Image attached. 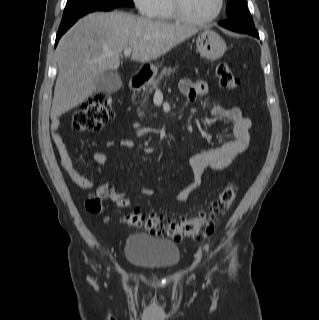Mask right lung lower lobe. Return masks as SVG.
Wrapping results in <instances>:
<instances>
[{"instance_id": "1", "label": "right lung lower lobe", "mask_w": 319, "mask_h": 320, "mask_svg": "<svg viewBox=\"0 0 319 320\" xmlns=\"http://www.w3.org/2000/svg\"><path fill=\"white\" fill-rule=\"evenodd\" d=\"M77 20H78V19H77ZM77 20H75L74 22L70 23L69 25H67V26H65V27L59 28V31H58L57 36H56L55 46L57 45L60 37H61Z\"/></svg>"}]
</instances>
